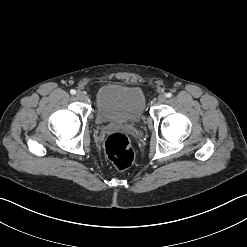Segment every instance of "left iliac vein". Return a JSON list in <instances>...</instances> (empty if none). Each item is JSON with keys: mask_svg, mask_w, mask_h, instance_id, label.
I'll return each instance as SVG.
<instances>
[{"mask_svg": "<svg viewBox=\"0 0 247 247\" xmlns=\"http://www.w3.org/2000/svg\"><path fill=\"white\" fill-rule=\"evenodd\" d=\"M157 99L159 103H163L166 101L167 97L164 94H160Z\"/></svg>", "mask_w": 247, "mask_h": 247, "instance_id": "4c4485c4", "label": "left iliac vein"}]
</instances>
